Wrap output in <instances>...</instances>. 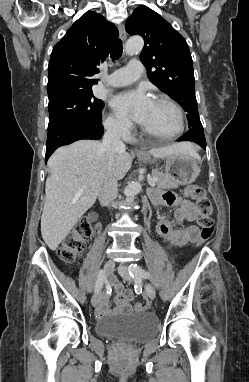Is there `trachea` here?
I'll list each match as a JSON object with an SVG mask.
<instances>
[{"label":"trachea","instance_id":"3493384b","mask_svg":"<svg viewBox=\"0 0 249 382\" xmlns=\"http://www.w3.org/2000/svg\"><path fill=\"white\" fill-rule=\"evenodd\" d=\"M123 51L122 41L120 39H116L110 48V57L113 61L118 60Z\"/></svg>","mask_w":249,"mask_h":382}]
</instances>
